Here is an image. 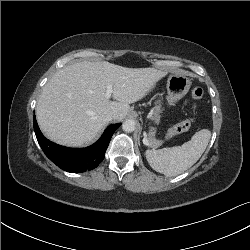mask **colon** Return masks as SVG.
Listing matches in <instances>:
<instances>
[{"label": "colon", "mask_w": 250, "mask_h": 250, "mask_svg": "<svg viewBox=\"0 0 250 250\" xmlns=\"http://www.w3.org/2000/svg\"><path fill=\"white\" fill-rule=\"evenodd\" d=\"M204 95V91L202 88H195L192 91V98L195 101H199ZM193 123V118H189L186 119L178 124H176L175 126H173L172 128H170L166 134V139H170L178 134L184 133L186 131H188L190 129V127L192 126Z\"/></svg>", "instance_id": "1"}]
</instances>
